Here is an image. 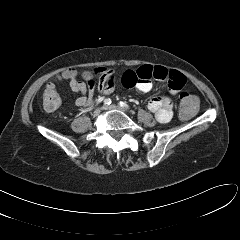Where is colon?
<instances>
[{
    "mask_svg": "<svg viewBox=\"0 0 240 240\" xmlns=\"http://www.w3.org/2000/svg\"><path fill=\"white\" fill-rule=\"evenodd\" d=\"M74 74L73 70H67L64 73L65 77ZM61 104V99L56 92L54 84L47 85L44 93H43V105L44 108L49 111H55L59 108ZM198 108V99L189 94V93H182L180 96V116L183 119H189L193 117Z\"/></svg>",
    "mask_w": 240,
    "mask_h": 240,
    "instance_id": "colon-1",
    "label": "colon"
}]
</instances>
